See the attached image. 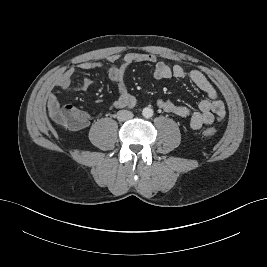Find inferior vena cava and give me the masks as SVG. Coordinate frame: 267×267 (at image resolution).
I'll return each mask as SVG.
<instances>
[{"label": "inferior vena cava", "instance_id": "inferior-vena-cava-1", "mask_svg": "<svg viewBox=\"0 0 267 267\" xmlns=\"http://www.w3.org/2000/svg\"><path fill=\"white\" fill-rule=\"evenodd\" d=\"M133 113L128 110H120L117 112L118 121H128L133 118Z\"/></svg>", "mask_w": 267, "mask_h": 267}]
</instances>
